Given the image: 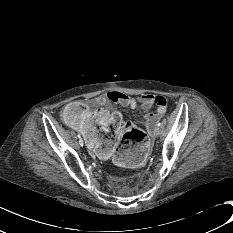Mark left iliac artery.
I'll list each match as a JSON object with an SVG mask.
<instances>
[{"label":"left iliac artery","mask_w":233,"mask_h":233,"mask_svg":"<svg viewBox=\"0 0 233 233\" xmlns=\"http://www.w3.org/2000/svg\"><path fill=\"white\" fill-rule=\"evenodd\" d=\"M157 126H161V122H158V123H157Z\"/></svg>","instance_id":"44dca946"}]
</instances>
